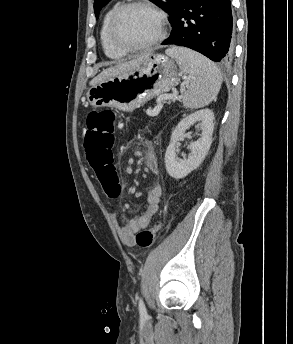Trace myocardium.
<instances>
[{"mask_svg":"<svg viewBox=\"0 0 293 344\" xmlns=\"http://www.w3.org/2000/svg\"><path fill=\"white\" fill-rule=\"evenodd\" d=\"M135 7H140V8H144L150 12H152L158 19L159 22V30L157 35L152 38L151 40H149L146 43L143 44H139V45H130L127 44L125 42H123L119 35H118V23L119 20L122 16V14L131 8H135ZM167 17L164 14L163 11H161L159 8H157L156 6H154L153 4L147 2L146 0H129L124 4H121L120 6H118L116 8V10L114 11L112 17H111V21H110V26H109V35H110V39L112 44L119 50L124 51L126 53L128 52H140V51H144V50H148L152 47H154L155 45L159 44L160 42H162L166 35H167Z\"/></svg>","mask_w":293,"mask_h":344,"instance_id":"1","label":"myocardium"}]
</instances>
